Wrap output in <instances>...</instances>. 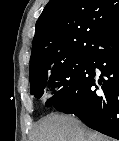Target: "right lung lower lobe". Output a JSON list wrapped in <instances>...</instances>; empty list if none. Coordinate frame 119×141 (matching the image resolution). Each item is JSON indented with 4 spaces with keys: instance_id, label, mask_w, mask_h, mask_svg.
<instances>
[{
    "instance_id": "obj_1",
    "label": "right lung lower lobe",
    "mask_w": 119,
    "mask_h": 141,
    "mask_svg": "<svg viewBox=\"0 0 119 141\" xmlns=\"http://www.w3.org/2000/svg\"><path fill=\"white\" fill-rule=\"evenodd\" d=\"M88 58L90 67L75 91L55 108L75 114L88 127L119 140V19L108 25Z\"/></svg>"
}]
</instances>
